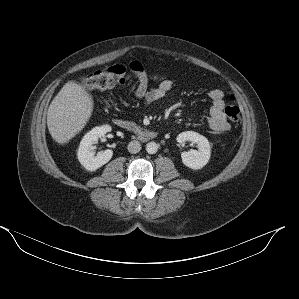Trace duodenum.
<instances>
[{
    "mask_svg": "<svg viewBox=\"0 0 299 299\" xmlns=\"http://www.w3.org/2000/svg\"><path fill=\"white\" fill-rule=\"evenodd\" d=\"M114 123L123 128L128 130L129 132H131L132 134H134L136 137H138L139 139L142 140H150L156 137V133L143 128L142 126L138 125L137 123L133 122V121H129L123 118H116L114 120Z\"/></svg>",
    "mask_w": 299,
    "mask_h": 299,
    "instance_id": "1",
    "label": "duodenum"
}]
</instances>
